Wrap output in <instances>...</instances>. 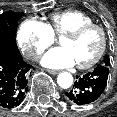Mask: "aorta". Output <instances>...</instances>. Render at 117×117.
I'll list each match as a JSON object with an SVG mask.
<instances>
[{
  "label": "aorta",
  "instance_id": "obj_1",
  "mask_svg": "<svg viewBox=\"0 0 117 117\" xmlns=\"http://www.w3.org/2000/svg\"><path fill=\"white\" fill-rule=\"evenodd\" d=\"M57 83L61 88L67 89L71 87L73 83V77L69 72H62L57 77Z\"/></svg>",
  "mask_w": 117,
  "mask_h": 117
}]
</instances>
